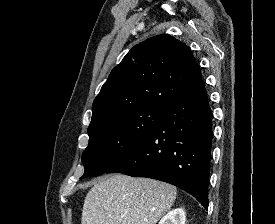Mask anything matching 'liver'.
<instances>
[{
	"label": "liver",
	"mask_w": 275,
	"mask_h": 224,
	"mask_svg": "<svg viewBox=\"0 0 275 224\" xmlns=\"http://www.w3.org/2000/svg\"><path fill=\"white\" fill-rule=\"evenodd\" d=\"M176 195L177 189L168 183L115 174L89 190L81 224H156Z\"/></svg>",
	"instance_id": "1"
}]
</instances>
